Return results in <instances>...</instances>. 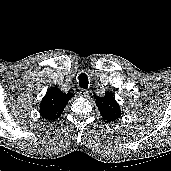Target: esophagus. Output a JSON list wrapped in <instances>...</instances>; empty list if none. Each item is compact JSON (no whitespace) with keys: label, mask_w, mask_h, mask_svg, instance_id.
I'll return each mask as SVG.
<instances>
[{"label":"esophagus","mask_w":171,"mask_h":171,"mask_svg":"<svg viewBox=\"0 0 171 171\" xmlns=\"http://www.w3.org/2000/svg\"><path fill=\"white\" fill-rule=\"evenodd\" d=\"M77 94H78L79 97H84V98H88L89 97L88 91L83 90V89H81Z\"/></svg>","instance_id":"esophagus-1"}]
</instances>
